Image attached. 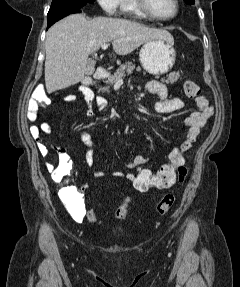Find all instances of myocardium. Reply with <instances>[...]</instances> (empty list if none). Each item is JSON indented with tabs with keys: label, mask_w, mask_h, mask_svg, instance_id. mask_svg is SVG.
Wrapping results in <instances>:
<instances>
[{
	"label": "myocardium",
	"mask_w": 240,
	"mask_h": 287,
	"mask_svg": "<svg viewBox=\"0 0 240 287\" xmlns=\"http://www.w3.org/2000/svg\"><path fill=\"white\" fill-rule=\"evenodd\" d=\"M137 3L139 6V9L145 16L149 17L152 20L161 21V22H166V21H170L174 19L178 15L179 10H180L179 0H174L175 10L173 14L170 16L162 17V16L156 15L153 12V10L150 7L149 0H137Z\"/></svg>",
	"instance_id": "myocardium-1"
}]
</instances>
